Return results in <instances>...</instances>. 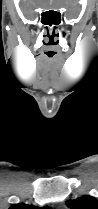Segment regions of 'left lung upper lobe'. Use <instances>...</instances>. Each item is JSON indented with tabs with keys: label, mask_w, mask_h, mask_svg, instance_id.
<instances>
[{
	"label": "left lung upper lobe",
	"mask_w": 98,
	"mask_h": 209,
	"mask_svg": "<svg viewBox=\"0 0 98 209\" xmlns=\"http://www.w3.org/2000/svg\"><path fill=\"white\" fill-rule=\"evenodd\" d=\"M69 209H98V202L94 197L83 196L66 202Z\"/></svg>",
	"instance_id": "5c2ea615"
}]
</instances>
